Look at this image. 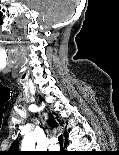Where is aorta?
Segmentation results:
<instances>
[{
  "label": "aorta",
  "instance_id": "obj_1",
  "mask_svg": "<svg viewBox=\"0 0 119 155\" xmlns=\"http://www.w3.org/2000/svg\"><path fill=\"white\" fill-rule=\"evenodd\" d=\"M21 149L24 151H32L35 149V135L33 133H29L23 138Z\"/></svg>",
  "mask_w": 119,
  "mask_h": 155
}]
</instances>
